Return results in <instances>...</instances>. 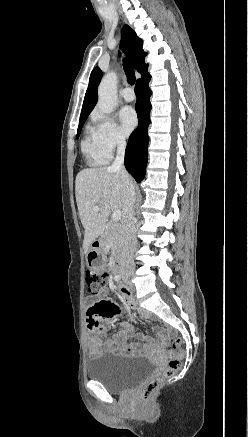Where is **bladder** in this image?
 I'll use <instances>...</instances> for the list:
<instances>
[{
	"instance_id": "31cf9c89",
	"label": "bladder",
	"mask_w": 248,
	"mask_h": 437,
	"mask_svg": "<svg viewBox=\"0 0 248 437\" xmlns=\"http://www.w3.org/2000/svg\"><path fill=\"white\" fill-rule=\"evenodd\" d=\"M156 371L157 366L146 357L103 353L89 363L87 374L108 391L121 393L151 378Z\"/></svg>"
}]
</instances>
